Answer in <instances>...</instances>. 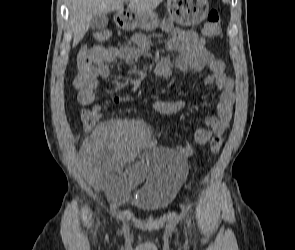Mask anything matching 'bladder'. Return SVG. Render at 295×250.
I'll use <instances>...</instances> for the list:
<instances>
[{"label":"bladder","instance_id":"obj_1","mask_svg":"<svg viewBox=\"0 0 295 250\" xmlns=\"http://www.w3.org/2000/svg\"><path fill=\"white\" fill-rule=\"evenodd\" d=\"M140 161H145L147 173L136 187L134 205L146 212L163 210L187 175L186 160L173 149L156 148Z\"/></svg>","mask_w":295,"mask_h":250}]
</instances>
